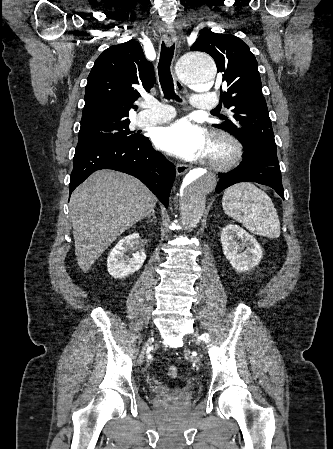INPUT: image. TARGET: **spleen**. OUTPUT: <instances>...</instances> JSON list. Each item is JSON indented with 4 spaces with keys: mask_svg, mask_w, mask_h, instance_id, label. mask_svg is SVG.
Segmentation results:
<instances>
[{
    "mask_svg": "<svg viewBox=\"0 0 333 449\" xmlns=\"http://www.w3.org/2000/svg\"><path fill=\"white\" fill-rule=\"evenodd\" d=\"M224 212L243 224L251 233L277 238L280 221L270 197L252 183H238L224 192Z\"/></svg>",
    "mask_w": 333,
    "mask_h": 449,
    "instance_id": "1",
    "label": "spleen"
}]
</instances>
